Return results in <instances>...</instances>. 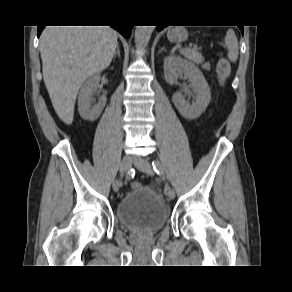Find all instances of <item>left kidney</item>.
Wrapping results in <instances>:
<instances>
[{
	"instance_id": "1",
	"label": "left kidney",
	"mask_w": 292,
	"mask_h": 292,
	"mask_svg": "<svg viewBox=\"0 0 292 292\" xmlns=\"http://www.w3.org/2000/svg\"><path fill=\"white\" fill-rule=\"evenodd\" d=\"M165 80L173 85L181 74L190 81V86L195 93V101L190 104L185 101L181 93H175L172 101L179 113L188 120L198 118L207 108L211 100V92L202 72L192 62L180 56H168L164 59Z\"/></svg>"
}]
</instances>
